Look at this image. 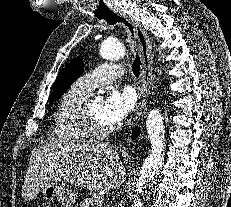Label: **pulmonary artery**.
<instances>
[{"label": "pulmonary artery", "instance_id": "obj_1", "mask_svg": "<svg viewBox=\"0 0 231 207\" xmlns=\"http://www.w3.org/2000/svg\"><path fill=\"white\" fill-rule=\"evenodd\" d=\"M121 74L122 68L119 65L104 63L78 78L75 84L80 90L91 93L96 87L118 79Z\"/></svg>", "mask_w": 231, "mask_h": 207}]
</instances>
